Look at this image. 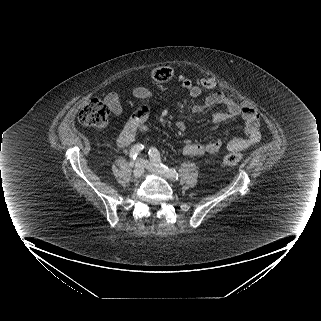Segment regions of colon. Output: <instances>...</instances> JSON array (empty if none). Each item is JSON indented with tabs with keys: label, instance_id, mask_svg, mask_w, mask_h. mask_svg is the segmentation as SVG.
Listing matches in <instances>:
<instances>
[{
	"label": "colon",
	"instance_id": "1",
	"mask_svg": "<svg viewBox=\"0 0 321 321\" xmlns=\"http://www.w3.org/2000/svg\"><path fill=\"white\" fill-rule=\"evenodd\" d=\"M173 76L172 68L168 66H160L153 70L152 78L156 82H167ZM197 84L202 85L206 89H213L216 87L214 78L197 77ZM110 108L108 104L100 97H92L89 99L78 114V120L82 125L92 127H103L108 121ZM244 155L240 152H230L224 155L222 163L225 166H234L243 160Z\"/></svg>",
	"mask_w": 321,
	"mask_h": 321
}]
</instances>
